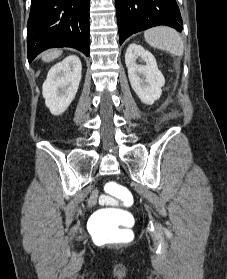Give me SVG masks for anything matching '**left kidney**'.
I'll list each match as a JSON object with an SVG mask.
<instances>
[{
	"mask_svg": "<svg viewBox=\"0 0 227 279\" xmlns=\"http://www.w3.org/2000/svg\"><path fill=\"white\" fill-rule=\"evenodd\" d=\"M137 59L144 61L145 65L137 64ZM125 63L133 90L143 103L152 105L160 98L161 87L165 84L155 57L142 46L132 43L127 48Z\"/></svg>",
	"mask_w": 227,
	"mask_h": 279,
	"instance_id": "1",
	"label": "left kidney"
}]
</instances>
